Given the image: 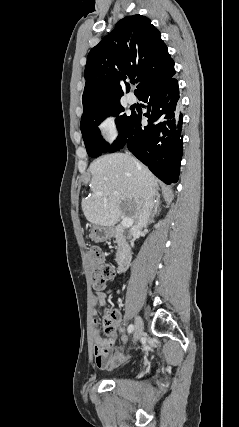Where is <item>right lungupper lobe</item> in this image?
<instances>
[{
	"instance_id": "1",
	"label": "right lung upper lobe",
	"mask_w": 239,
	"mask_h": 427,
	"mask_svg": "<svg viewBox=\"0 0 239 427\" xmlns=\"http://www.w3.org/2000/svg\"><path fill=\"white\" fill-rule=\"evenodd\" d=\"M174 71V61L151 20L142 15L127 16L88 54L82 116L100 105L120 102L129 90L127 78L136 77L138 96Z\"/></svg>"
}]
</instances>
